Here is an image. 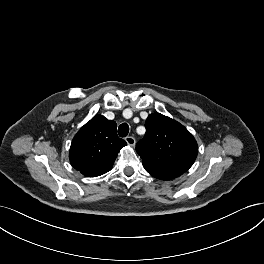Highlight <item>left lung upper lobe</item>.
Wrapping results in <instances>:
<instances>
[{
    "instance_id": "1",
    "label": "left lung upper lobe",
    "mask_w": 264,
    "mask_h": 264,
    "mask_svg": "<svg viewBox=\"0 0 264 264\" xmlns=\"http://www.w3.org/2000/svg\"><path fill=\"white\" fill-rule=\"evenodd\" d=\"M146 133L136 145L143 163L186 172L194 163L198 147L195 138L177 121L160 113L150 114Z\"/></svg>"
}]
</instances>
